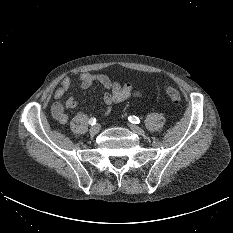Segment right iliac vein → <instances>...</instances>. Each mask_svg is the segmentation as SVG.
Segmentation results:
<instances>
[{"mask_svg":"<svg viewBox=\"0 0 233 233\" xmlns=\"http://www.w3.org/2000/svg\"><path fill=\"white\" fill-rule=\"evenodd\" d=\"M99 131H100V125H99V124L93 125V126L90 128V130H89V132H90L91 135H95V134H97Z\"/></svg>","mask_w":233,"mask_h":233,"instance_id":"right-iliac-vein-1","label":"right iliac vein"}]
</instances>
